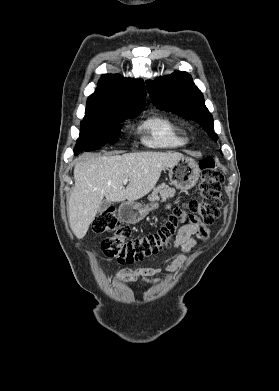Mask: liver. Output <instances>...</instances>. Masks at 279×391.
<instances>
[{
    "mask_svg": "<svg viewBox=\"0 0 279 391\" xmlns=\"http://www.w3.org/2000/svg\"><path fill=\"white\" fill-rule=\"evenodd\" d=\"M178 152H136L91 156L76 164L75 185L68 203V219L74 235L82 239L95 219L104 197L110 202H134L147 195L162 170L181 158ZM128 179L125 188L123 181Z\"/></svg>",
    "mask_w": 279,
    "mask_h": 391,
    "instance_id": "liver-1",
    "label": "liver"
}]
</instances>
